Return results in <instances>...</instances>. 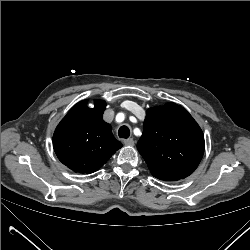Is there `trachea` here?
Listing matches in <instances>:
<instances>
[{
    "label": "trachea",
    "mask_w": 250,
    "mask_h": 250,
    "mask_svg": "<svg viewBox=\"0 0 250 250\" xmlns=\"http://www.w3.org/2000/svg\"><path fill=\"white\" fill-rule=\"evenodd\" d=\"M118 135L120 138H128L130 136V129L124 125L119 128Z\"/></svg>",
    "instance_id": "obj_1"
}]
</instances>
